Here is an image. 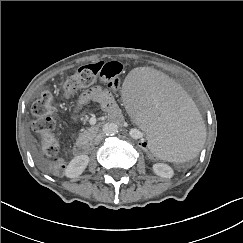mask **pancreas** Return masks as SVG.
<instances>
[{
    "mask_svg": "<svg viewBox=\"0 0 243 243\" xmlns=\"http://www.w3.org/2000/svg\"><path fill=\"white\" fill-rule=\"evenodd\" d=\"M98 132V128L90 127L78 136V142H89L91 141Z\"/></svg>",
    "mask_w": 243,
    "mask_h": 243,
    "instance_id": "1",
    "label": "pancreas"
}]
</instances>
